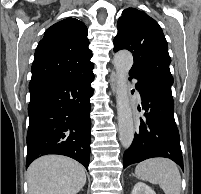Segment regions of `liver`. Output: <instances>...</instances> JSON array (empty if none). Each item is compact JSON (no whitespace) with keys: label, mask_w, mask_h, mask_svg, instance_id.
<instances>
[{"label":"liver","mask_w":201,"mask_h":194,"mask_svg":"<svg viewBox=\"0 0 201 194\" xmlns=\"http://www.w3.org/2000/svg\"><path fill=\"white\" fill-rule=\"evenodd\" d=\"M28 194H77L86 183L84 167L60 155L35 160L27 170Z\"/></svg>","instance_id":"liver-1"}]
</instances>
